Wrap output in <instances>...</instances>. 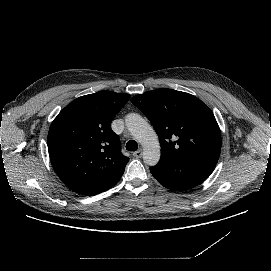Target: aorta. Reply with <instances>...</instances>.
<instances>
[{
    "instance_id": "762f6f07",
    "label": "aorta",
    "mask_w": 271,
    "mask_h": 271,
    "mask_svg": "<svg viewBox=\"0 0 271 271\" xmlns=\"http://www.w3.org/2000/svg\"><path fill=\"white\" fill-rule=\"evenodd\" d=\"M125 125L131 135L142 145L144 163L148 166L157 165L161 151L158 136L153 127L138 113L127 114Z\"/></svg>"
}]
</instances>
